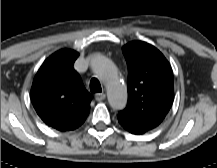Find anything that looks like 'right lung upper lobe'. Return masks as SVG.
I'll list each match as a JSON object with an SVG mask.
<instances>
[{
    "mask_svg": "<svg viewBox=\"0 0 217 168\" xmlns=\"http://www.w3.org/2000/svg\"><path fill=\"white\" fill-rule=\"evenodd\" d=\"M79 53L62 49L44 61L31 88L32 104L45 124L59 131L78 128L90 111L88 93L73 64Z\"/></svg>",
    "mask_w": 217,
    "mask_h": 168,
    "instance_id": "cb5924a9",
    "label": "right lung upper lobe"
}]
</instances>
